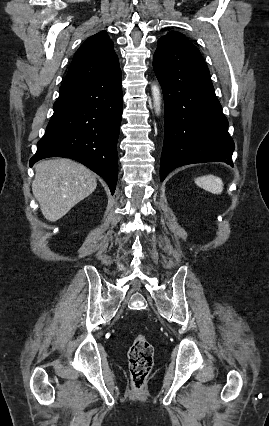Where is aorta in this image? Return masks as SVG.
I'll return each mask as SVG.
<instances>
[{
	"instance_id": "aorta-1",
	"label": "aorta",
	"mask_w": 269,
	"mask_h": 426,
	"mask_svg": "<svg viewBox=\"0 0 269 426\" xmlns=\"http://www.w3.org/2000/svg\"><path fill=\"white\" fill-rule=\"evenodd\" d=\"M160 89L156 84L152 85V96H153V102L155 107V112L157 115L160 113V107H161V97H160Z\"/></svg>"
}]
</instances>
